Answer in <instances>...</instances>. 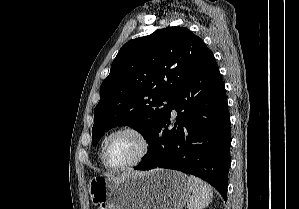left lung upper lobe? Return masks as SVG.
<instances>
[{"mask_svg": "<svg viewBox=\"0 0 299 209\" xmlns=\"http://www.w3.org/2000/svg\"><path fill=\"white\" fill-rule=\"evenodd\" d=\"M212 58L202 39L183 27L156 30L124 44L100 87L92 145L117 125H131L150 143L172 97Z\"/></svg>", "mask_w": 299, "mask_h": 209, "instance_id": "obj_1", "label": "left lung upper lobe"}]
</instances>
